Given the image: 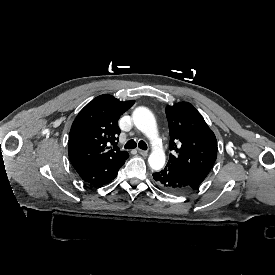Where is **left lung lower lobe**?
<instances>
[{"label": "left lung lower lobe", "mask_w": 275, "mask_h": 275, "mask_svg": "<svg viewBox=\"0 0 275 275\" xmlns=\"http://www.w3.org/2000/svg\"><path fill=\"white\" fill-rule=\"evenodd\" d=\"M153 178L161 189L173 194H185L193 189L180 175L168 166L164 170L154 173Z\"/></svg>", "instance_id": "left-lung-lower-lobe-1"}]
</instances>
